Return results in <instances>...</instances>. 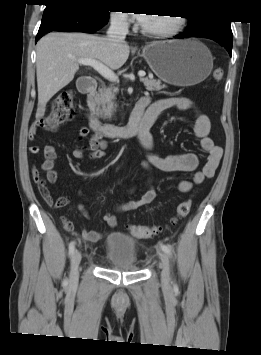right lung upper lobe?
Wrapping results in <instances>:
<instances>
[{"label":"right lung upper lobe","instance_id":"obj_1","mask_svg":"<svg viewBox=\"0 0 261 355\" xmlns=\"http://www.w3.org/2000/svg\"><path fill=\"white\" fill-rule=\"evenodd\" d=\"M46 3H58V2H81V1H85V0H46Z\"/></svg>","mask_w":261,"mask_h":355}]
</instances>
